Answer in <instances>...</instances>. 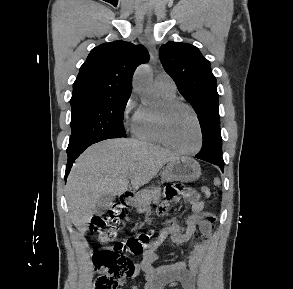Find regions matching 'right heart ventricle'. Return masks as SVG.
Masks as SVG:
<instances>
[{"label":"right heart ventricle","mask_w":293,"mask_h":289,"mask_svg":"<svg viewBox=\"0 0 293 289\" xmlns=\"http://www.w3.org/2000/svg\"><path fill=\"white\" fill-rule=\"evenodd\" d=\"M159 93L164 100L175 99V92L159 91ZM155 113L153 109L142 107L133 126V133L137 139L154 144L161 143L156 131Z\"/></svg>","instance_id":"obj_1"}]
</instances>
